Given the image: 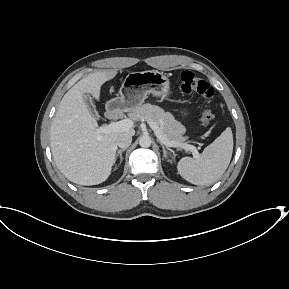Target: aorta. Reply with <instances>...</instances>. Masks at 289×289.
Listing matches in <instances>:
<instances>
[{"mask_svg": "<svg viewBox=\"0 0 289 289\" xmlns=\"http://www.w3.org/2000/svg\"><path fill=\"white\" fill-rule=\"evenodd\" d=\"M151 138L149 136H142L140 139H139V145L143 148H148L151 146Z\"/></svg>", "mask_w": 289, "mask_h": 289, "instance_id": "aorta-1", "label": "aorta"}]
</instances>
